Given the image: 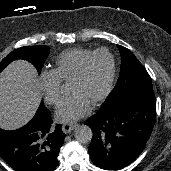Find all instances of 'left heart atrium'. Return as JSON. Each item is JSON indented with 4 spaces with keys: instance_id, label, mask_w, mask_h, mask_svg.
Masks as SVG:
<instances>
[{
    "instance_id": "obj_1",
    "label": "left heart atrium",
    "mask_w": 171,
    "mask_h": 171,
    "mask_svg": "<svg viewBox=\"0 0 171 171\" xmlns=\"http://www.w3.org/2000/svg\"><path fill=\"white\" fill-rule=\"evenodd\" d=\"M91 110L89 102L80 94H72L60 103L55 118L59 122H74L86 116Z\"/></svg>"
}]
</instances>
